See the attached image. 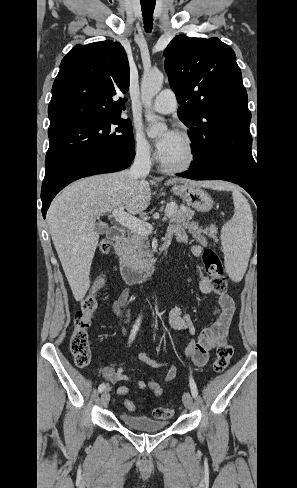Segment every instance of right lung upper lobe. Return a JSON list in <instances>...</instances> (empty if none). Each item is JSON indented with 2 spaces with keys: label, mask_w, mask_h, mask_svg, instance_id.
<instances>
[{
  "label": "right lung upper lobe",
  "mask_w": 297,
  "mask_h": 488,
  "mask_svg": "<svg viewBox=\"0 0 297 488\" xmlns=\"http://www.w3.org/2000/svg\"><path fill=\"white\" fill-rule=\"evenodd\" d=\"M129 88V64L120 43L76 45L62 59L48 107V133L120 116L124 100L112 99Z\"/></svg>",
  "instance_id": "obj_1"
}]
</instances>
